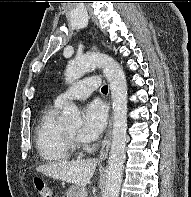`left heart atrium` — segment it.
<instances>
[{"instance_id": "left-heart-atrium-1", "label": "left heart atrium", "mask_w": 191, "mask_h": 197, "mask_svg": "<svg viewBox=\"0 0 191 197\" xmlns=\"http://www.w3.org/2000/svg\"><path fill=\"white\" fill-rule=\"evenodd\" d=\"M107 122V110L103 103L93 101L83 110L82 126L78 137L84 142L97 139L104 130Z\"/></svg>"}]
</instances>
